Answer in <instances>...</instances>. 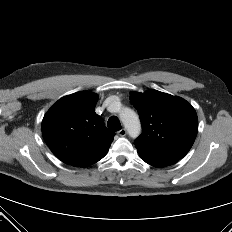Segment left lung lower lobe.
Returning a JSON list of instances; mask_svg holds the SVG:
<instances>
[{"label": "left lung lower lobe", "mask_w": 232, "mask_h": 232, "mask_svg": "<svg viewBox=\"0 0 232 232\" xmlns=\"http://www.w3.org/2000/svg\"><path fill=\"white\" fill-rule=\"evenodd\" d=\"M142 160L145 161L146 163H148L149 165H152V166L158 167V168H162V167L172 165V164H174V163H176L178 161L176 159L151 160V159H145V158H142Z\"/></svg>", "instance_id": "0a47b994"}]
</instances>
